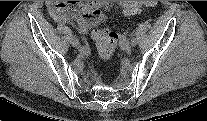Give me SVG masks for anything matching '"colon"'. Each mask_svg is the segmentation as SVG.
Listing matches in <instances>:
<instances>
[{
  "mask_svg": "<svg viewBox=\"0 0 207 121\" xmlns=\"http://www.w3.org/2000/svg\"><path fill=\"white\" fill-rule=\"evenodd\" d=\"M153 2L148 3V1H127L122 6L125 13L134 14L138 12L143 6L151 7L148 5H153ZM118 38L119 36L116 32L107 28L96 29L92 32V39L95 43L96 49L103 59H110L114 55Z\"/></svg>",
  "mask_w": 207,
  "mask_h": 121,
  "instance_id": "5ec220e1",
  "label": "colon"
}]
</instances>
